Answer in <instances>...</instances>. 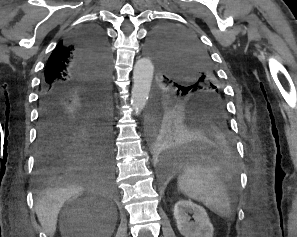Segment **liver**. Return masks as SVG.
I'll list each match as a JSON object with an SVG mask.
<instances>
[{"mask_svg":"<svg viewBox=\"0 0 297 237\" xmlns=\"http://www.w3.org/2000/svg\"><path fill=\"white\" fill-rule=\"evenodd\" d=\"M91 176L68 174L58 178L56 185L45 190L37 199L35 211L44 232L53 237L56 232L58 214L63 204L82 192Z\"/></svg>","mask_w":297,"mask_h":237,"instance_id":"liver-1","label":"liver"}]
</instances>
